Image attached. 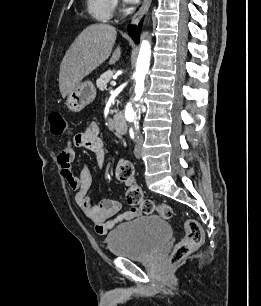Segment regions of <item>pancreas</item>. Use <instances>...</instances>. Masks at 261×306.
<instances>
[{"label":"pancreas","mask_w":261,"mask_h":306,"mask_svg":"<svg viewBox=\"0 0 261 306\" xmlns=\"http://www.w3.org/2000/svg\"><path fill=\"white\" fill-rule=\"evenodd\" d=\"M113 72L108 70L106 72H104L99 79H97L96 81V86L100 89V90H104L107 87V84L109 83V81L112 79L113 77Z\"/></svg>","instance_id":"pancreas-1"}]
</instances>
